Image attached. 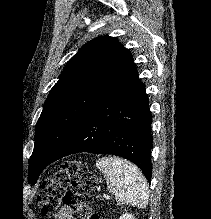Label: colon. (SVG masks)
I'll list each match as a JSON object with an SVG mask.
<instances>
[{"label": "colon", "instance_id": "5ec220e1", "mask_svg": "<svg viewBox=\"0 0 211 219\" xmlns=\"http://www.w3.org/2000/svg\"><path fill=\"white\" fill-rule=\"evenodd\" d=\"M95 185L96 177L82 162L72 160L61 164L42 185L38 195L41 214L51 217L64 204L75 219H101L92 209Z\"/></svg>", "mask_w": 211, "mask_h": 219}]
</instances>
